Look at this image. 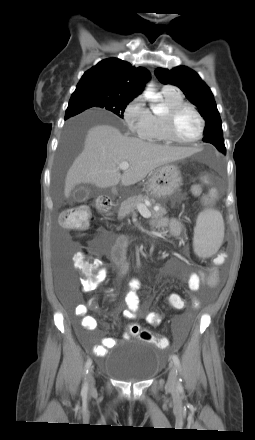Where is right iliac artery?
Listing matches in <instances>:
<instances>
[{
    "label": "right iliac artery",
    "mask_w": 255,
    "mask_h": 440,
    "mask_svg": "<svg viewBox=\"0 0 255 440\" xmlns=\"http://www.w3.org/2000/svg\"><path fill=\"white\" fill-rule=\"evenodd\" d=\"M91 364H92V360L89 358L86 361V364H85V370H84L85 376L88 374V371H89V368H90ZM87 392H88V382H87L86 377H85V380H84V383H83V387H82V390H81V394L83 396H85L87 394Z\"/></svg>",
    "instance_id": "82829eb1"
}]
</instances>
